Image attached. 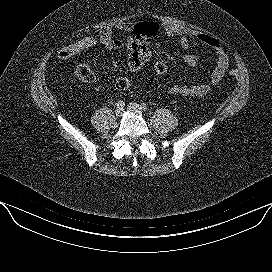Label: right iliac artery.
Wrapping results in <instances>:
<instances>
[{
  "mask_svg": "<svg viewBox=\"0 0 272 272\" xmlns=\"http://www.w3.org/2000/svg\"><path fill=\"white\" fill-rule=\"evenodd\" d=\"M124 106H125V103H124L123 100H119V101L117 102V107H118V108H123Z\"/></svg>",
  "mask_w": 272,
  "mask_h": 272,
  "instance_id": "1",
  "label": "right iliac artery"
}]
</instances>
